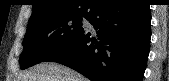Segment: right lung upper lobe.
Returning a JSON list of instances; mask_svg holds the SVG:
<instances>
[{
  "instance_id": "right-lung-upper-lobe-1",
  "label": "right lung upper lobe",
  "mask_w": 169,
  "mask_h": 81,
  "mask_svg": "<svg viewBox=\"0 0 169 81\" xmlns=\"http://www.w3.org/2000/svg\"><path fill=\"white\" fill-rule=\"evenodd\" d=\"M29 23L58 16H87L101 0H33Z\"/></svg>"
}]
</instances>
